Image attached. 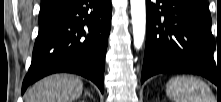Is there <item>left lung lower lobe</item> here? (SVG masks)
Masks as SVG:
<instances>
[{
    "label": "left lung lower lobe",
    "instance_id": "left-lung-lower-lobe-1",
    "mask_svg": "<svg viewBox=\"0 0 221 102\" xmlns=\"http://www.w3.org/2000/svg\"><path fill=\"white\" fill-rule=\"evenodd\" d=\"M146 46L141 83L166 72L221 80L214 60L211 16L204 0H146Z\"/></svg>",
    "mask_w": 221,
    "mask_h": 102
}]
</instances>
